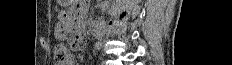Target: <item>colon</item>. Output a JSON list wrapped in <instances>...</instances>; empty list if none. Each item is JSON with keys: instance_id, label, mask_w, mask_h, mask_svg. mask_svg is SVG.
Segmentation results:
<instances>
[{"instance_id": "colon-1", "label": "colon", "mask_w": 232, "mask_h": 65, "mask_svg": "<svg viewBox=\"0 0 232 65\" xmlns=\"http://www.w3.org/2000/svg\"><path fill=\"white\" fill-rule=\"evenodd\" d=\"M70 56V48L67 45L58 43L55 47L54 58L57 64H62Z\"/></svg>"}]
</instances>
